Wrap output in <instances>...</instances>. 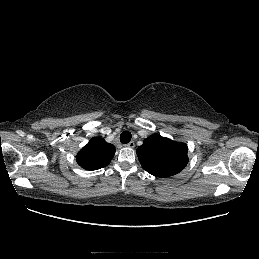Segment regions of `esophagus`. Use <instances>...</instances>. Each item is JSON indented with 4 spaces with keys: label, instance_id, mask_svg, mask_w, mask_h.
Listing matches in <instances>:
<instances>
[{
    "label": "esophagus",
    "instance_id": "34e87169",
    "mask_svg": "<svg viewBox=\"0 0 259 259\" xmlns=\"http://www.w3.org/2000/svg\"><path fill=\"white\" fill-rule=\"evenodd\" d=\"M126 146L128 148H134L135 147V143H134V141H130Z\"/></svg>",
    "mask_w": 259,
    "mask_h": 259
}]
</instances>
